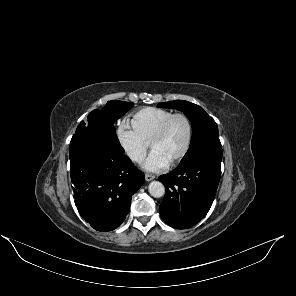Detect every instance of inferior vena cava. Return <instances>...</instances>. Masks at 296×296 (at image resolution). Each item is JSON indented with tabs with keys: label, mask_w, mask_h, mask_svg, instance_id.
Masks as SVG:
<instances>
[{
	"label": "inferior vena cava",
	"mask_w": 296,
	"mask_h": 296,
	"mask_svg": "<svg viewBox=\"0 0 296 296\" xmlns=\"http://www.w3.org/2000/svg\"><path fill=\"white\" fill-rule=\"evenodd\" d=\"M129 157L136 162H143L145 159V155L140 152H132L129 154Z\"/></svg>",
	"instance_id": "602c4592"
}]
</instances>
